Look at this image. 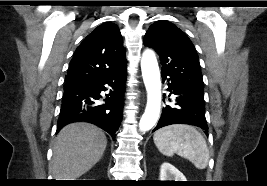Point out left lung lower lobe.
I'll use <instances>...</instances> for the list:
<instances>
[{
  "mask_svg": "<svg viewBox=\"0 0 267 186\" xmlns=\"http://www.w3.org/2000/svg\"><path fill=\"white\" fill-rule=\"evenodd\" d=\"M162 79L163 82L165 80L169 82L168 91L171 92L169 96L171 94L175 96V104L172 106L166 105L163 108L153 132L171 124H189L200 127L208 135L203 92L164 73H162Z\"/></svg>",
  "mask_w": 267,
  "mask_h": 186,
  "instance_id": "left-lung-lower-lobe-1",
  "label": "left lung lower lobe"
}]
</instances>
